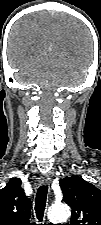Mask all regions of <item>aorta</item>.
<instances>
[{"label": "aorta", "instance_id": "obj_1", "mask_svg": "<svg viewBox=\"0 0 101 225\" xmlns=\"http://www.w3.org/2000/svg\"><path fill=\"white\" fill-rule=\"evenodd\" d=\"M70 214V209L65 204H54L48 210V218L53 223L66 221Z\"/></svg>", "mask_w": 101, "mask_h": 225}]
</instances>
